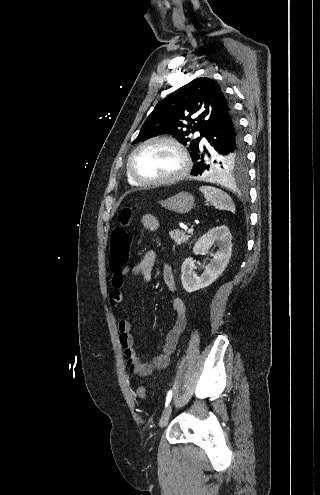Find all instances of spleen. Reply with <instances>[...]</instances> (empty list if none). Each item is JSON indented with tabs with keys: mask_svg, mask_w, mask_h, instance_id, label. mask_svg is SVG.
Instances as JSON below:
<instances>
[{
	"mask_svg": "<svg viewBox=\"0 0 320 495\" xmlns=\"http://www.w3.org/2000/svg\"><path fill=\"white\" fill-rule=\"evenodd\" d=\"M200 191L203 193L205 199L216 209L235 213V205L231 197L224 191L211 186H203L200 188Z\"/></svg>",
	"mask_w": 320,
	"mask_h": 495,
	"instance_id": "1",
	"label": "spleen"
}]
</instances>
